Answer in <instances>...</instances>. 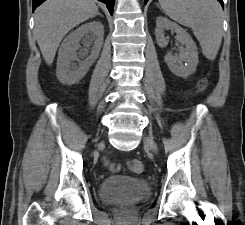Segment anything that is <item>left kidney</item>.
<instances>
[{"mask_svg": "<svg viewBox=\"0 0 245 225\" xmlns=\"http://www.w3.org/2000/svg\"><path fill=\"white\" fill-rule=\"evenodd\" d=\"M164 30H171L176 33V39L185 46L181 47L180 56L174 57L171 53H167L164 60L170 71L179 77H188L195 72L198 64V51L195 42L190 34L165 17H158L156 20L155 36L159 47L168 45V38L164 35ZM185 62V64H183Z\"/></svg>", "mask_w": 245, "mask_h": 225, "instance_id": "left-kidney-1", "label": "left kidney"}]
</instances>
